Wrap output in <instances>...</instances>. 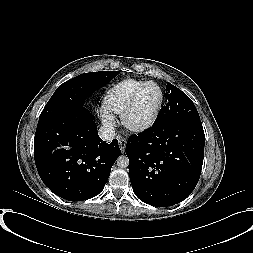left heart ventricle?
Here are the masks:
<instances>
[{"label": "left heart ventricle", "instance_id": "obj_1", "mask_svg": "<svg viewBox=\"0 0 253 253\" xmlns=\"http://www.w3.org/2000/svg\"><path fill=\"white\" fill-rule=\"evenodd\" d=\"M160 102V92L154 85L146 86L139 95L137 104L131 113L130 121L135 125L145 124L150 120Z\"/></svg>", "mask_w": 253, "mask_h": 253}]
</instances>
